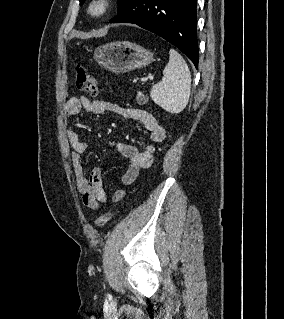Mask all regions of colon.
Segmentation results:
<instances>
[{
    "label": "colon",
    "instance_id": "obj_1",
    "mask_svg": "<svg viewBox=\"0 0 284 319\" xmlns=\"http://www.w3.org/2000/svg\"><path fill=\"white\" fill-rule=\"evenodd\" d=\"M76 75V85L80 91L92 97L98 95L99 88L96 81L88 74L86 69L80 64L76 65ZM112 216V211H108L102 214L96 219L95 225L97 227L105 225L111 219Z\"/></svg>",
    "mask_w": 284,
    "mask_h": 319
}]
</instances>
